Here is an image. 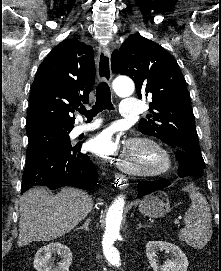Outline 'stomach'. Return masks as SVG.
<instances>
[{
  "label": "stomach",
  "instance_id": "stomach-1",
  "mask_svg": "<svg viewBox=\"0 0 221 271\" xmlns=\"http://www.w3.org/2000/svg\"><path fill=\"white\" fill-rule=\"evenodd\" d=\"M170 209V199L167 193L160 191V189L145 195L139 203V211L148 217H163L169 213Z\"/></svg>",
  "mask_w": 221,
  "mask_h": 271
}]
</instances>
